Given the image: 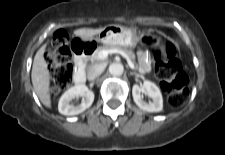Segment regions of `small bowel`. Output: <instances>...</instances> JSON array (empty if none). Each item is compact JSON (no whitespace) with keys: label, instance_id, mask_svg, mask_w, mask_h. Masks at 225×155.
<instances>
[{"label":"small bowel","instance_id":"small-bowel-1","mask_svg":"<svg viewBox=\"0 0 225 155\" xmlns=\"http://www.w3.org/2000/svg\"><path fill=\"white\" fill-rule=\"evenodd\" d=\"M139 67L142 71L146 72L150 69V59L144 50L138 52Z\"/></svg>","mask_w":225,"mask_h":155}]
</instances>
